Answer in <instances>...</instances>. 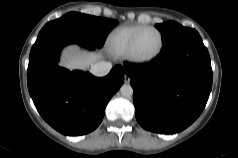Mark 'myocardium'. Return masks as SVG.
<instances>
[{
	"instance_id": "myocardium-1",
	"label": "myocardium",
	"mask_w": 238,
	"mask_h": 158,
	"mask_svg": "<svg viewBox=\"0 0 238 158\" xmlns=\"http://www.w3.org/2000/svg\"><path fill=\"white\" fill-rule=\"evenodd\" d=\"M147 30H153L158 34V36H159V46H158L157 50L152 55L147 56V57H141V56L136 54V45H137L138 39L141 36V34L145 31H147ZM163 46H164V39H163L162 32L154 26H145L142 29H140L133 36V38L130 42V45H129L126 56L133 63H137V64L150 63L160 55V53L162 52Z\"/></svg>"
}]
</instances>
